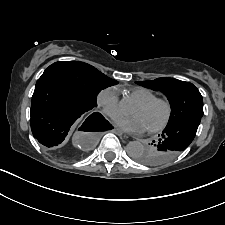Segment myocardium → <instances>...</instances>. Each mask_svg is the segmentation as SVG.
<instances>
[{"mask_svg": "<svg viewBox=\"0 0 225 225\" xmlns=\"http://www.w3.org/2000/svg\"><path fill=\"white\" fill-rule=\"evenodd\" d=\"M157 103H161L166 107V116H165L164 120L159 125L148 128V131L151 132V133L159 132V131L163 130L169 124V122L172 118V115H173L172 104L167 98H162V97H154L150 100L137 103V105H139L143 108L150 107V106H152L154 104H157Z\"/></svg>", "mask_w": 225, "mask_h": 225, "instance_id": "myocardium-1", "label": "myocardium"}]
</instances>
